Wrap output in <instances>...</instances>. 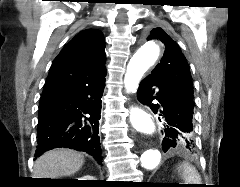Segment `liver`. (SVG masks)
<instances>
[{
    "mask_svg": "<svg viewBox=\"0 0 240 187\" xmlns=\"http://www.w3.org/2000/svg\"><path fill=\"white\" fill-rule=\"evenodd\" d=\"M84 163V156L71 149H53L40 156L34 164L33 178L70 176Z\"/></svg>",
    "mask_w": 240,
    "mask_h": 187,
    "instance_id": "obj_1",
    "label": "liver"
}]
</instances>
